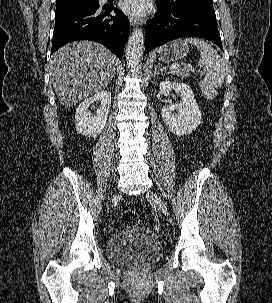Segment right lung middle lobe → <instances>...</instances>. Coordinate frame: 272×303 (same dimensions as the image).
I'll list each match as a JSON object with an SVG mask.
<instances>
[{"label": "right lung middle lobe", "mask_w": 272, "mask_h": 303, "mask_svg": "<svg viewBox=\"0 0 272 303\" xmlns=\"http://www.w3.org/2000/svg\"><path fill=\"white\" fill-rule=\"evenodd\" d=\"M99 7V0H73L56 3L55 17H59L75 11Z\"/></svg>", "instance_id": "dd1d6c3e"}]
</instances>
